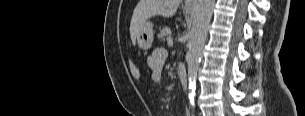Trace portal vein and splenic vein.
I'll use <instances>...</instances> for the list:
<instances>
[{"label": "portal vein and splenic vein", "mask_w": 305, "mask_h": 116, "mask_svg": "<svg viewBox=\"0 0 305 116\" xmlns=\"http://www.w3.org/2000/svg\"><path fill=\"white\" fill-rule=\"evenodd\" d=\"M168 45H169V46H172V45H173V38H172V37H170V38L168 39Z\"/></svg>", "instance_id": "obj_1"}]
</instances>
